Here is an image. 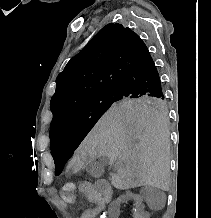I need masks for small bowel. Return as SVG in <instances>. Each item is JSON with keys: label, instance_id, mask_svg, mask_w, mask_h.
Returning <instances> with one entry per match:
<instances>
[{"label": "small bowel", "instance_id": "c3829d8e", "mask_svg": "<svg viewBox=\"0 0 211 218\" xmlns=\"http://www.w3.org/2000/svg\"><path fill=\"white\" fill-rule=\"evenodd\" d=\"M79 191L85 196L88 202L93 204V207L81 212L80 218H95L104 210L106 202L101 197L96 185L90 182H83L79 186ZM131 216L132 218H147V213L141 207H136L132 210Z\"/></svg>", "mask_w": 211, "mask_h": 218}]
</instances>
